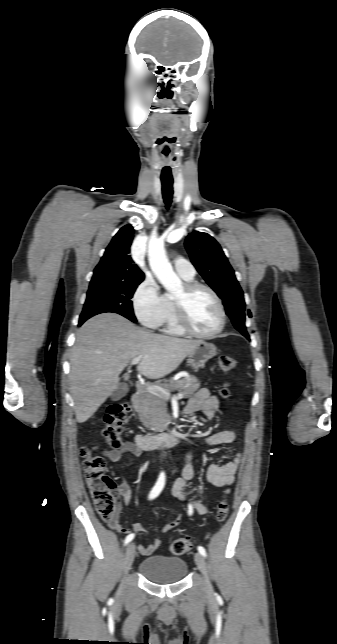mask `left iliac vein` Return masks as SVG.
Listing matches in <instances>:
<instances>
[{"mask_svg":"<svg viewBox=\"0 0 337 644\" xmlns=\"http://www.w3.org/2000/svg\"><path fill=\"white\" fill-rule=\"evenodd\" d=\"M195 563H196L199 571L204 576L207 591L208 592L211 591L212 587H211V584L209 582L208 575H207L206 561L204 560L203 556L200 553L195 554Z\"/></svg>","mask_w":337,"mask_h":644,"instance_id":"left-iliac-vein-1","label":"left iliac vein"}]
</instances>
